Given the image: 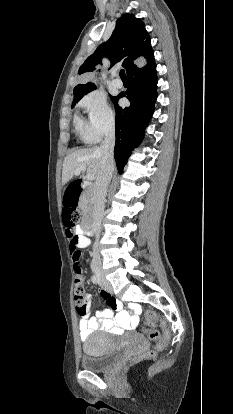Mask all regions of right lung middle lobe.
<instances>
[{
	"instance_id": "right-lung-middle-lobe-1",
	"label": "right lung middle lobe",
	"mask_w": 233,
	"mask_h": 414,
	"mask_svg": "<svg viewBox=\"0 0 233 414\" xmlns=\"http://www.w3.org/2000/svg\"><path fill=\"white\" fill-rule=\"evenodd\" d=\"M92 91V90H91ZM114 98V97H113ZM112 98V99H113ZM79 100H77V101H73V103H72V108L74 107V105L78 102Z\"/></svg>"
}]
</instances>
